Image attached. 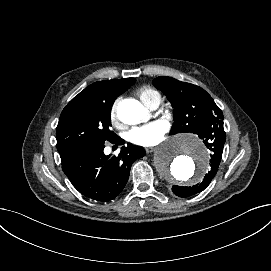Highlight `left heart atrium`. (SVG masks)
Wrapping results in <instances>:
<instances>
[{
  "label": "left heart atrium",
  "instance_id": "left-heart-atrium-1",
  "mask_svg": "<svg viewBox=\"0 0 271 271\" xmlns=\"http://www.w3.org/2000/svg\"><path fill=\"white\" fill-rule=\"evenodd\" d=\"M167 131L168 124L163 120H156L131 130L129 140L140 146H154L164 139Z\"/></svg>",
  "mask_w": 271,
  "mask_h": 271
}]
</instances>
